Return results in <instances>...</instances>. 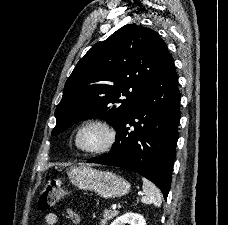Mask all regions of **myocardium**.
I'll return each mask as SVG.
<instances>
[{
  "label": "myocardium",
  "instance_id": "obj_1",
  "mask_svg": "<svg viewBox=\"0 0 228 225\" xmlns=\"http://www.w3.org/2000/svg\"><path fill=\"white\" fill-rule=\"evenodd\" d=\"M89 128L100 129L104 136V143L100 146H83L79 138ZM118 142V133L108 121L98 118L87 119L78 124L68 138L69 147L77 154L101 156L111 152Z\"/></svg>",
  "mask_w": 228,
  "mask_h": 225
}]
</instances>
